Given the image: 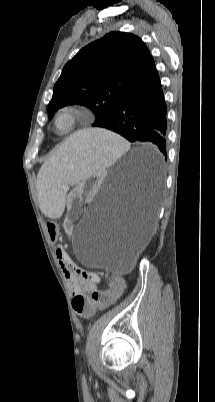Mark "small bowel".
Returning a JSON list of instances; mask_svg holds the SVG:
<instances>
[{
  "instance_id": "small-bowel-1",
  "label": "small bowel",
  "mask_w": 215,
  "mask_h": 402,
  "mask_svg": "<svg viewBox=\"0 0 215 402\" xmlns=\"http://www.w3.org/2000/svg\"><path fill=\"white\" fill-rule=\"evenodd\" d=\"M56 255L60 261L68 260V256L65 250L61 246H56ZM64 274L70 287L71 293L74 295V297L78 295L85 296V294L88 293L89 291L96 289L97 284L100 281L99 276L95 273L93 277L90 279H83L79 275L69 270H64Z\"/></svg>"
}]
</instances>
